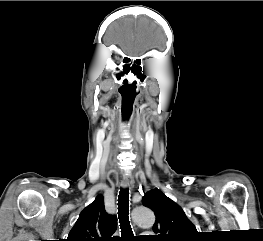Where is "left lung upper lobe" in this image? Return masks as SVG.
Here are the masks:
<instances>
[{"label": "left lung upper lobe", "instance_id": "5c2ea615", "mask_svg": "<svg viewBox=\"0 0 263 241\" xmlns=\"http://www.w3.org/2000/svg\"><path fill=\"white\" fill-rule=\"evenodd\" d=\"M143 205L156 216L153 241H197L198 231L182 208L160 190H152L143 197Z\"/></svg>", "mask_w": 263, "mask_h": 241}]
</instances>
